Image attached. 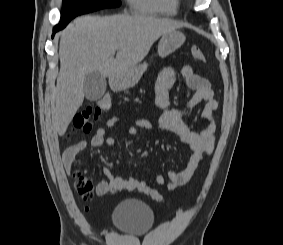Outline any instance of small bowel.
Listing matches in <instances>:
<instances>
[{"mask_svg":"<svg viewBox=\"0 0 283 245\" xmlns=\"http://www.w3.org/2000/svg\"><path fill=\"white\" fill-rule=\"evenodd\" d=\"M186 86L194 93L187 106L183 110L171 108L169 100V90L177 79V71L173 67L164 68L158 75L155 83V103L161 110L159 125L155 126L147 119H137L128 128L130 135H138L140 130L167 132L178 136L191 149L186 167L181 171H169L168 181L163 175L157 174L155 181L158 185H165L168 190H174L185 184L195 173L204 159L211 155L215 148V123L212 114L218 108V102L215 99L214 92L210 82L196 74L190 66H184L180 70ZM203 103L201 111L202 125L199 127L191 126L184 121L196 106ZM120 121L119 117H112L107 120L105 127L97 129L90 140L92 147L99 148L103 146L113 147L116 144L114 137L107 136V129L113 127ZM87 145L85 140L67 147L62 154V163L67 172H71L75 156ZM103 173L108 180L97 183L95 193L98 196H104L110 191V183L115 178L114 173L109 167L103 169ZM89 211V207H85Z\"/></svg>","mask_w":283,"mask_h":245,"instance_id":"small-bowel-1","label":"small bowel"}]
</instances>
